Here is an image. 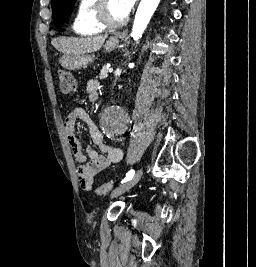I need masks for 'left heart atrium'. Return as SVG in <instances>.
<instances>
[{"label": "left heart atrium", "instance_id": "obj_1", "mask_svg": "<svg viewBox=\"0 0 256 267\" xmlns=\"http://www.w3.org/2000/svg\"><path fill=\"white\" fill-rule=\"evenodd\" d=\"M136 0H114L117 8L121 14V22L116 27H122L126 24L130 13L133 10L134 4Z\"/></svg>", "mask_w": 256, "mask_h": 267}]
</instances>
